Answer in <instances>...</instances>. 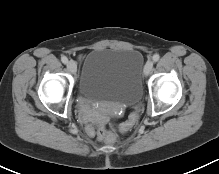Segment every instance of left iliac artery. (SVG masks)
I'll use <instances>...</instances> for the list:
<instances>
[{"label": "left iliac artery", "mask_w": 219, "mask_h": 174, "mask_svg": "<svg viewBox=\"0 0 219 174\" xmlns=\"http://www.w3.org/2000/svg\"><path fill=\"white\" fill-rule=\"evenodd\" d=\"M152 59H153L154 62H157L160 59L159 54H154Z\"/></svg>", "instance_id": "obj_1"}]
</instances>
